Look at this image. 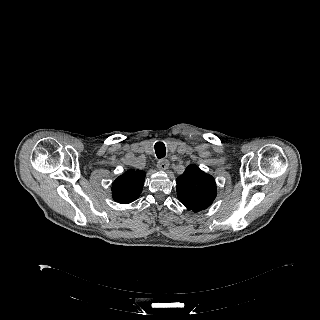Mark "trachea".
<instances>
[{
    "mask_svg": "<svg viewBox=\"0 0 320 320\" xmlns=\"http://www.w3.org/2000/svg\"><path fill=\"white\" fill-rule=\"evenodd\" d=\"M154 148H155V153L157 155V157L159 159H162L165 157L166 155V147L164 145L163 142H157L155 145H154Z\"/></svg>",
    "mask_w": 320,
    "mask_h": 320,
    "instance_id": "3493384b",
    "label": "trachea"
}]
</instances>
